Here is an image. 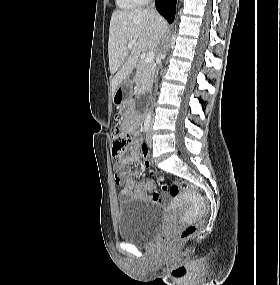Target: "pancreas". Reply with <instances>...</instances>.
I'll list each match as a JSON object with an SVG mask.
<instances>
[{
  "mask_svg": "<svg viewBox=\"0 0 280 285\" xmlns=\"http://www.w3.org/2000/svg\"><path fill=\"white\" fill-rule=\"evenodd\" d=\"M154 72L155 63H146L141 59L138 61L134 81L139 93H144L150 89L153 82Z\"/></svg>",
  "mask_w": 280,
  "mask_h": 285,
  "instance_id": "1",
  "label": "pancreas"
}]
</instances>
